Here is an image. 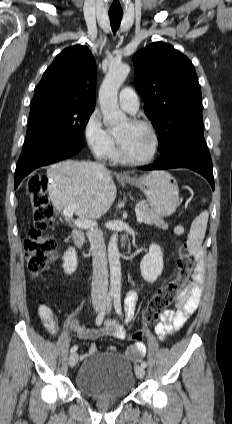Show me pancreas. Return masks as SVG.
Listing matches in <instances>:
<instances>
[{"label": "pancreas", "instance_id": "cf45deb5", "mask_svg": "<svg viewBox=\"0 0 232 424\" xmlns=\"http://www.w3.org/2000/svg\"><path fill=\"white\" fill-rule=\"evenodd\" d=\"M140 214L143 216L142 223L147 225H156L162 229H167L168 225L161 216L152 210L149 205L142 203L138 206Z\"/></svg>", "mask_w": 232, "mask_h": 424}]
</instances>
